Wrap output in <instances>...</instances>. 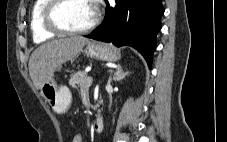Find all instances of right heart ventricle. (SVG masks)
Segmentation results:
<instances>
[{
  "instance_id": "right-heart-ventricle-1",
  "label": "right heart ventricle",
  "mask_w": 227,
  "mask_h": 142,
  "mask_svg": "<svg viewBox=\"0 0 227 142\" xmlns=\"http://www.w3.org/2000/svg\"><path fill=\"white\" fill-rule=\"evenodd\" d=\"M50 0H35L30 15V28L35 43H42L56 36L44 26L43 11Z\"/></svg>"
}]
</instances>
